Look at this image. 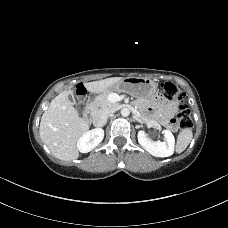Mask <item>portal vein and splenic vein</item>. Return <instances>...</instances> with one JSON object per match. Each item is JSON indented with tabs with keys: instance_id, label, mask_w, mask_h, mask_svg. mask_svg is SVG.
I'll list each match as a JSON object with an SVG mask.
<instances>
[{
	"instance_id": "18ae733b",
	"label": "portal vein and splenic vein",
	"mask_w": 228,
	"mask_h": 228,
	"mask_svg": "<svg viewBox=\"0 0 228 228\" xmlns=\"http://www.w3.org/2000/svg\"><path fill=\"white\" fill-rule=\"evenodd\" d=\"M112 96L116 99H119V96L117 94H112Z\"/></svg>"
}]
</instances>
